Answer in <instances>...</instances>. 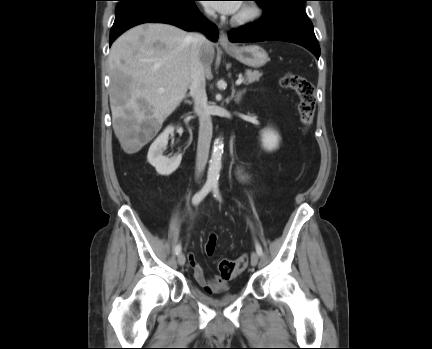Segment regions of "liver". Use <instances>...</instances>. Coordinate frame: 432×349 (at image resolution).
I'll list each match as a JSON object with an SVG mask.
<instances>
[{"label":"liver","instance_id":"6515ba94","mask_svg":"<svg viewBox=\"0 0 432 349\" xmlns=\"http://www.w3.org/2000/svg\"><path fill=\"white\" fill-rule=\"evenodd\" d=\"M172 25L148 23L122 34L111 46L110 107L116 137L125 153L138 152L159 132L190 86L191 42ZM214 45L200 59L211 78Z\"/></svg>","mask_w":432,"mask_h":349}]
</instances>
